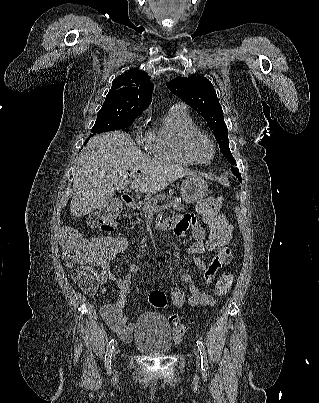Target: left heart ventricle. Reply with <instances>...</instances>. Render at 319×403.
Instances as JSON below:
<instances>
[{"label":"left heart ventricle","instance_id":"left-heart-ventricle-1","mask_svg":"<svg viewBox=\"0 0 319 403\" xmlns=\"http://www.w3.org/2000/svg\"><path fill=\"white\" fill-rule=\"evenodd\" d=\"M194 151L201 161H209L212 158V147L204 138H197L194 142Z\"/></svg>","mask_w":319,"mask_h":403}]
</instances>
